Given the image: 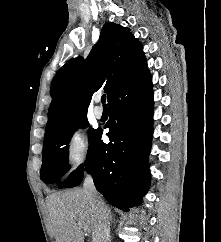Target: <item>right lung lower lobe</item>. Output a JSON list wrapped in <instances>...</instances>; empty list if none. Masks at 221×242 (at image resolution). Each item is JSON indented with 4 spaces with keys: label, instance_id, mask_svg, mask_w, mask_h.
Segmentation results:
<instances>
[{
    "label": "right lung lower lobe",
    "instance_id": "1",
    "mask_svg": "<svg viewBox=\"0 0 221 242\" xmlns=\"http://www.w3.org/2000/svg\"><path fill=\"white\" fill-rule=\"evenodd\" d=\"M152 78L147 70L121 86L108 102L109 144L97 130L90 140L86 170L96 189L115 207L128 211L139 205L149 186L148 155L153 129ZM84 176L80 165L59 186L79 185Z\"/></svg>",
    "mask_w": 221,
    "mask_h": 242
}]
</instances>
